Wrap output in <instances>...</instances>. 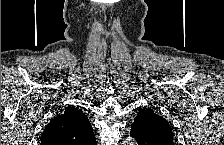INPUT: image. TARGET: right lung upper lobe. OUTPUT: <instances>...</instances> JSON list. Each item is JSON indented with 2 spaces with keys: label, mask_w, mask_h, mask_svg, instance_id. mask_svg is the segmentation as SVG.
Listing matches in <instances>:
<instances>
[{
  "label": "right lung upper lobe",
  "mask_w": 224,
  "mask_h": 145,
  "mask_svg": "<svg viewBox=\"0 0 224 145\" xmlns=\"http://www.w3.org/2000/svg\"><path fill=\"white\" fill-rule=\"evenodd\" d=\"M92 126L84 113L68 108L45 127L41 145H95Z\"/></svg>",
  "instance_id": "right-lung-upper-lobe-1"
}]
</instances>
